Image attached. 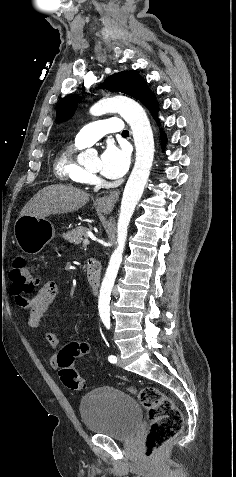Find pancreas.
<instances>
[{"label":"pancreas","instance_id":"1","mask_svg":"<svg viewBox=\"0 0 236 477\" xmlns=\"http://www.w3.org/2000/svg\"><path fill=\"white\" fill-rule=\"evenodd\" d=\"M87 236V228L79 226L76 229L70 230L63 234V238L70 243L80 244L83 240V237Z\"/></svg>","mask_w":236,"mask_h":477}]
</instances>
